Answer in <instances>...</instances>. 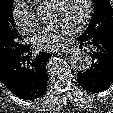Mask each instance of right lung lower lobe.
<instances>
[{"instance_id": "1", "label": "right lung lower lobe", "mask_w": 113, "mask_h": 113, "mask_svg": "<svg viewBox=\"0 0 113 113\" xmlns=\"http://www.w3.org/2000/svg\"><path fill=\"white\" fill-rule=\"evenodd\" d=\"M30 46L16 54L0 69V79L16 96L34 100L44 94L47 88L46 62L49 53L41 52L31 57Z\"/></svg>"}]
</instances>
